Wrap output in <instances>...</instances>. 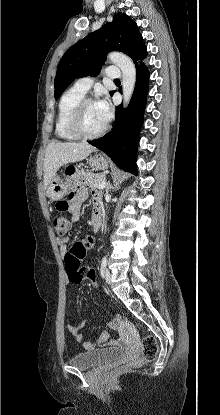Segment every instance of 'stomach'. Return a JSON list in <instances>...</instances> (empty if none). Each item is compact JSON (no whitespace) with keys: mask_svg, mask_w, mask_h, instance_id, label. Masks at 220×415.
Segmentation results:
<instances>
[{"mask_svg":"<svg viewBox=\"0 0 220 415\" xmlns=\"http://www.w3.org/2000/svg\"><path fill=\"white\" fill-rule=\"evenodd\" d=\"M89 165L96 170H106L108 168L107 159L101 154H95L88 158ZM74 186V177H69L66 179H61L59 176L55 175L46 188V193L48 197L57 201L62 199L66 194H68Z\"/></svg>","mask_w":220,"mask_h":415,"instance_id":"stomach-1","label":"stomach"}]
</instances>
